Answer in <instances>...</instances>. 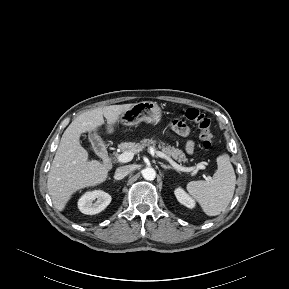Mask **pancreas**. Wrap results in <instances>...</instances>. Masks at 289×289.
<instances>
[{"label": "pancreas", "instance_id": "1", "mask_svg": "<svg viewBox=\"0 0 289 289\" xmlns=\"http://www.w3.org/2000/svg\"><path fill=\"white\" fill-rule=\"evenodd\" d=\"M155 145V141L153 139L143 138L139 143L136 142H124L119 145V149L123 152L131 151L134 154L138 153V149H142L149 145ZM160 148L163 153L167 156L172 157L173 159L177 160L178 162H186L188 159L186 158L185 154L182 150L170 146L164 142H161Z\"/></svg>", "mask_w": 289, "mask_h": 289}]
</instances>
